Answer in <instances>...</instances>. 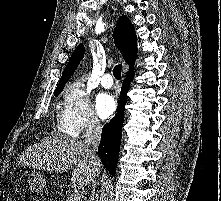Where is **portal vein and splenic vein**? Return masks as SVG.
<instances>
[{
	"instance_id": "obj_1",
	"label": "portal vein and splenic vein",
	"mask_w": 221,
	"mask_h": 201,
	"mask_svg": "<svg viewBox=\"0 0 221 201\" xmlns=\"http://www.w3.org/2000/svg\"><path fill=\"white\" fill-rule=\"evenodd\" d=\"M80 200H81V195L79 193L72 195L69 199V201H80Z\"/></svg>"
}]
</instances>
